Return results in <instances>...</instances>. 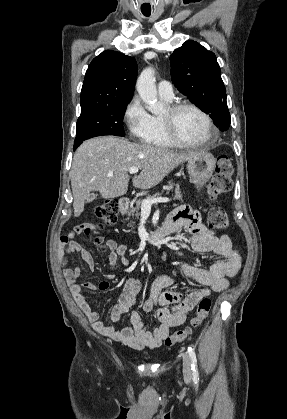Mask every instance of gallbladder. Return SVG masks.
<instances>
[{
    "label": "gallbladder",
    "instance_id": "gallbladder-1",
    "mask_svg": "<svg viewBox=\"0 0 287 419\" xmlns=\"http://www.w3.org/2000/svg\"><path fill=\"white\" fill-rule=\"evenodd\" d=\"M95 199H96V194L90 193L89 196L87 197V203H90Z\"/></svg>",
    "mask_w": 287,
    "mask_h": 419
}]
</instances>
